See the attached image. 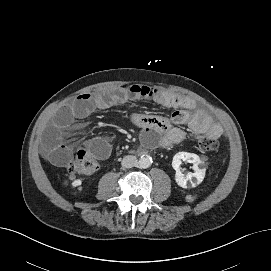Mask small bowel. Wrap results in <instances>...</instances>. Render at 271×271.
I'll return each instance as SVG.
<instances>
[{
    "label": "small bowel",
    "mask_w": 271,
    "mask_h": 271,
    "mask_svg": "<svg viewBox=\"0 0 271 271\" xmlns=\"http://www.w3.org/2000/svg\"><path fill=\"white\" fill-rule=\"evenodd\" d=\"M135 100H150L167 108H175L171 117L133 114L132 122L142 128L145 140H154L155 134H161L159 145L168 148L182 142L187 133L180 126L187 125L193 138L204 135L219 138L222 127L213 120L195 100L157 87L130 85L114 88L99 93H83L72 102L63 106L54 116L51 125L45 132L43 155L53 164L63 166L71 158L72 151L65 143L64 130L75 120L82 119L97 109ZM88 147L101 159H106L112 152L108 139L95 137L87 142Z\"/></svg>",
    "instance_id": "obj_1"
}]
</instances>
